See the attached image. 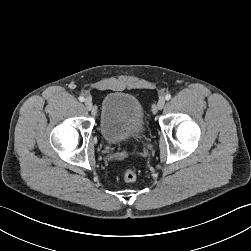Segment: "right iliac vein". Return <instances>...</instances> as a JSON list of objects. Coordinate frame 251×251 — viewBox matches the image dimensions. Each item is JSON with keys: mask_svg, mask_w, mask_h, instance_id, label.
<instances>
[{"mask_svg": "<svg viewBox=\"0 0 251 251\" xmlns=\"http://www.w3.org/2000/svg\"><path fill=\"white\" fill-rule=\"evenodd\" d=\"M84 104H85V107L87 108V110H89V111L92 110L93 103L90 99H86Z\"/></svg>", "mask_w": 251, "mask_h": 251, "instance_id": "obj_1", "label": "right iliac vein"}]
</instances>
